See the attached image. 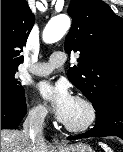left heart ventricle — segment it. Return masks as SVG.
Returning a JSON list of instances; mask_svg holds the SVG:
<instances>
[{"label": "left heart ventricle", "instance_id": "1", "mask_svg": "<svg viewBox=\"0 0 123 152\" xmlns=\"http://www.w3.org/2000/svg\"><path fill=\"white\" fill-rule=\"evenodd\" d=\"M86 118H87V110L85 106L79 101H76L74 99L66 122L77 125L83 123L86 120Z\"/></svg>", "mask_w": 123, "mask_h": 152}]
</instances>
